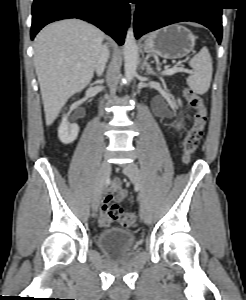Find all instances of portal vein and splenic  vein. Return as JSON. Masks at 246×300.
<instances>
[{
	"label": "portal vein and splenic vein",
	"mask_w": 246,
	"mask_h": 300,
	"mask_svg": "<svg viewBox=\"0 0 246 300\" xmlns=\"http://www.w3.org/2000/svg\"><path fill=\"white\" fill-rule=\"evenodd\" d=\"M177 72H185V73H190V74L192 73L191 70L185 69L183 67H173L171 69H167V70L163 71L162 75L171 76Z\"/></svg>",
	"instance_id": "obj_1"
}]
</instances>
